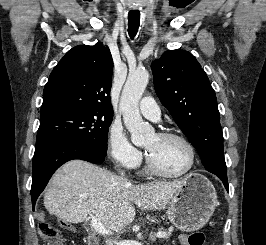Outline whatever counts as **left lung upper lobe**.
I'll list each match as a JSON object with an SVG mask.
<instances>
[{"instance_id": "1", "label": "left lung upper lobe", "mask_w": 266, "mask_h": 245, "mask_svg": "<svg viewBox=\"0 0 266 245\" xmlns=\"http://www.w3.org/2000/svg\"><path fill=\"white\" fill-rule=\"evenodd\" d=\"M151 69L157 96L197 149L205 169L227 175L215 91L196 58L185 50L166 51Z\"/></svg>"}]
</instances>
